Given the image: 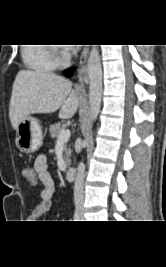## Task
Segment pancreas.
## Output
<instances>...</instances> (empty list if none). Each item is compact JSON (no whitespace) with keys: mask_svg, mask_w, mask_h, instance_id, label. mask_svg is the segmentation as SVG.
<instances>
[{"mask_svg":"<svg viewBox=\"0 0 166 267\" xmlns=\"http://www.w3.org/2000/svg\"><path fill=\"white\" fill-rule=\"evenodd\" d=\"M64 130H65V126L61 125L60 123L53 124L50 126V129H49L50 136L53 139H56V138H58L60 132H62ZM71 153H72L71 149L66 147V149H65V161L67 163V166H69L71 163V159H70Z\"/></svg>","mask_w":166,"mask_h":267,"instance_id":"pancreas-1","label":"pancreas"}]
</instances>
